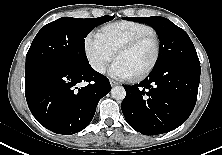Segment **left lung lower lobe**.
Returning <instances> with one entry per match:
<instances>
[{"mask_svg":"<svg viewBox=\"0 0 222 155\" xmlns=\"http://www.w3.org/2000/svg\"><path fill=\"white\" fill-rule=\"evenodd\" d=\"M200 64L172 62L152 72L139 84L126 86L121 109L127 123L144 135H157L182 125L194 109Z\"/></svg>","mask_w":222,"mask_h":155,"instance_id":"0a47b994","label":"left lung lower lobe"}]
</instances>
